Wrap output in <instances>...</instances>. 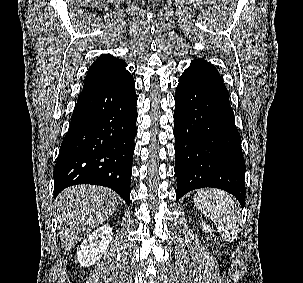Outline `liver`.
<instances>
[{
  "label": "liver",
  "mask_w": 303,
  "mask_h": 283,
  "mask_svg": "<svg viewBox=\"0 0 303 283\" xmlns=\"http://www.w3.org/2000/svg\"><path fill=\"white\" fill-rule=\"evenodd\" d=\"M117 196L108 188L78 185L65 189L54 202L59 237L70 251L90 231L114 214Z\"/></svg>",
  "instance_id": "1"
}]
</instances>
